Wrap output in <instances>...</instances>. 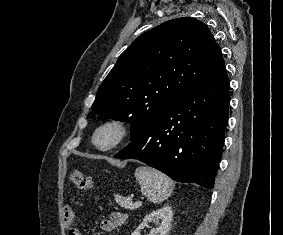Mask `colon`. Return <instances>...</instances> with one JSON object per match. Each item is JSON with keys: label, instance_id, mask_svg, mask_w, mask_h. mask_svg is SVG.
<instances>
[{"label": "colon", "instance_id": "obj_1", "mask_svg": "<svg viewBox=\"0 0 283 235\" xmlns=\"http://www.w3.org/2000/svg\"><path fill=\"white\" fill-rule=\"evenodd\" d=\"M70 179L82 190H90L92 188V180L78 169L72 171Z\"/></svg>", "mask_w": 283, "mask_h": 235}]
</instances>
